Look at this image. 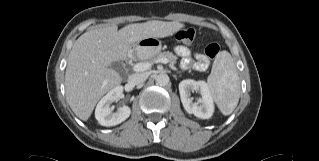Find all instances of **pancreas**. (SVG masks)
<instances>
[{"label": "pancreas", "instance_id": "cf45deb5", "mask_svg": "<svg viewBox=\"0 0 319 161\" xmlns=\"http://www.w3.org/2000/svg\"><path fill=\"white\" fill-rule=\"evenodd\" d=\"M160 58H167L171 66H174V64H176V61L178 59L177 56H175L172 52L167 51V52L158 53L157 55L153 56L150 59V62L155 63L156 60Z\"/></svg>", "mask_w": 319, "mask_h": 161}]
</instances>
